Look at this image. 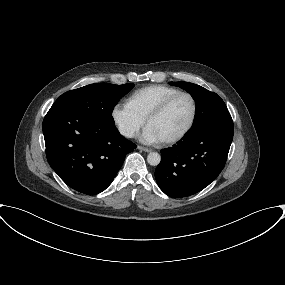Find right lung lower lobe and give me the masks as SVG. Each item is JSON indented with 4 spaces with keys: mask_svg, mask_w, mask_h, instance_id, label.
Masks as SVG:
<instances>
[{
    "mask_svg": "<svg viewBox=\"0 0 285 285\" xmlns=\"http://www.w3.org/2000/svg\"><path fill=\"white\" fill-rule=\"evenodd\" d=\"M46 157L72 189L95 195L105 190L136 145L115 126L94 121L62 105H52L43 120Z\"/></svg>",
    "mask_w": 285,
    "mask_h": 285,
    "instance_id": "right-lung-lower-lobe-1",
    "label": "right lung lower lobe"
}]
</instances>
